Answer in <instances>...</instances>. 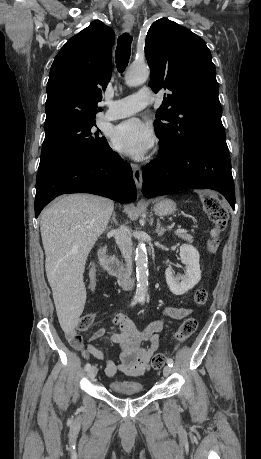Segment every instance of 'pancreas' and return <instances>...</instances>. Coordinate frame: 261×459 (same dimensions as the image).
<instances>
[{"label": "pancreas", "instance_id": "obj_1", "mask_svg": "<svg viewBox=\"0 0 261 459\" xmlns=\"http://www.w3.org/2000/svg\"><path fill=\"white\" fill-rule=\"evenodd\" d=\"M176 234L178 237L186 240L189 243L193 242V236H191L190 234H184V233H176Z\"/></svg>", "mask_w": 261, "mask_h": 459}]
</instances>
